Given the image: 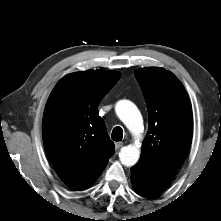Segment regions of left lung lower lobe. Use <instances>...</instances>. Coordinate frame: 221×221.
Wrapping results in <instances>:
<instances>
[{
  "mask_svg": "<svg viewBox=\"0 0 221 221\" xmlns=\"http://www.w3.org/2000/svg\"><path fill=\"white\" fill-rule=\"evenodd\" d=\"M131 181L136 193L144 197H152L162 193L170 184L171 178L138 162L131 168Z\"/></svg>",
  "mask_w": 221,
  "mask_h": 221,
  "instance_id": "1",
  "label": "left lung lower lobe"
}]
</instances>
